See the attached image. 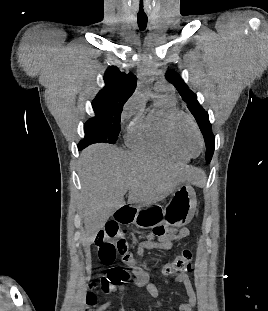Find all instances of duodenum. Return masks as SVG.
<instances>
[{
  "label": "duodenum",
  "mask_w": 268,
  "mask_h": 311,
  "mask_svg": "<svg viewBox=\"0 0 268 311\" xmlns=\"http://www.w3.org/2000/svg\"><path fill=\"white\" fill-rule=\"evenodd\" d=\"M134 215V209L130 206H123L116 212V218L120 222H125Z\"/></svg>",
  "instance_id": "1"
}]
</instances>
